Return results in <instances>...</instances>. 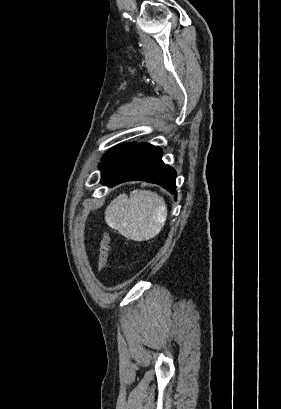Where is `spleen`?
Returning a JSON list of instances; mask_svg holds the SVG:
<instances>
[{"label":"spleen","instance_id":"1","mask_svg":"<svg viewBox=\"0 0 281 409\" xmlns=\"http://www.w3.org/2000/svg\"><path fill=\"white\" fill-rule=\"evenodd\" d=\"M167 219L163 196L152 190L136 188L111 200L105 211V221L131 241H150L161 233Z\"/></svg>","mask_w":281,"mask_h":409}]
</instances>
